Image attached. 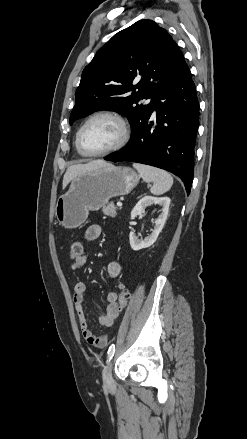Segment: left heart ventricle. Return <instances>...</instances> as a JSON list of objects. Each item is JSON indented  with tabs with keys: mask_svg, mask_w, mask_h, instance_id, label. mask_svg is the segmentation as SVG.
Wrapping results in <instances>:
<instances>
[{
	"mask_svg": "<svg viewBox=\"0 0 247 439\" xmlns=\"http://www.w3.org/2000/svg\"><path fill=\"white\" fill-rule=\"evenodd\" d=\"M121 137L119 124L108 117L91 121L83 131L82 145L88 152H101L114 146Z\"/></svg>",
	"mask_w": 247,
	"mask_h": 439,
	"instance_id": "1",
	"label": "left heart ventricle"
}]
</instances>
